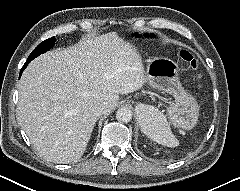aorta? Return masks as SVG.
<instances>
[{
	"mask_svg": "<svg viewBox=\"0 0 240 191\" xmlns=\"http://www.w3.org/2000/svg\"><path fill=\"white\" fill-rule=\"evenodd\" d=\"M116 119L121 123H128L132 119V112L129 108L122 107L116 112Z\"/></svg>",
	"mask_w": 240,
	"mask_h": 191,
	"instance_id": "1",
	"label": "aorta"
}]
</instances>
